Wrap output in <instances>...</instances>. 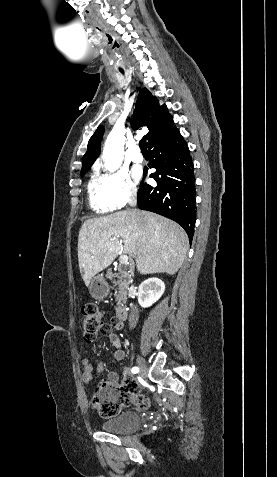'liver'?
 I'll return each instance as SVG.
<instances>
[{"instance_id":"6515ba94","label":"liver","mask_w":277,"mask_h":477,"mask_svg":"<svg viewBox=\"0 0 277 477\" xmlns=\"http://www.w3.org/2000/svg\"><path fill=\"white\" fill-rule=\"evenodd\" d=\"M187 250V235L177 223L147 211H119L88 219L78 236V262L86 286L120 251L135 258L141 274L173 275Z\"/></svg>"}]
</instances>
